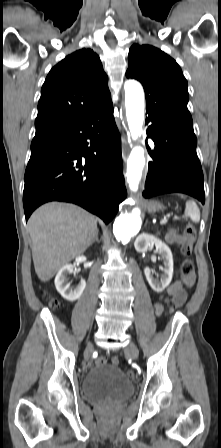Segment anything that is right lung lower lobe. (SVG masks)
Wrapping results in <instances>:
<instances>
[{
	"mask_svg": "<svg viewBox=\"0 0 221 448\" xmlns=\"http://www.w3.org/2000/svg\"><path fill=\"white\" fill-rule=\"evenodd\" d=\"M120 146L111 101L35 135L24 177L26 221L38 206L57 200L109 223L126 198Z\"/></svg>",
	"mask_w": 221,
	"mask_h": 448,
	"instance_id": "right-lung-lower-lobe-1",
	"label": "right lung lower lobe"
}]
</instances>
